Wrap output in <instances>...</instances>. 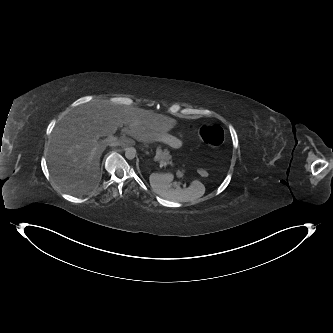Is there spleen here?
I'll return each instance as SVG.
<instances>
[{
	"label": "spleen",
	"instance_id": "3e777b00",
	"mask_svg": "<svg viewBox=\"0 0 333 333\" xmlns=\"http://www.w3.org/2000/svg\"><path fill=\"white\" fill-rule=\"evenodd\" d=\"M173 178V175L169 173H152L149 181L153 191L168 200L189 202L204 195L205 186L200 181L195 180L188 188L182 189L174 183L171 184Z\"/></svg>",
	"mask_w": 333,
	"mask_h": 333
}]
</instances>
